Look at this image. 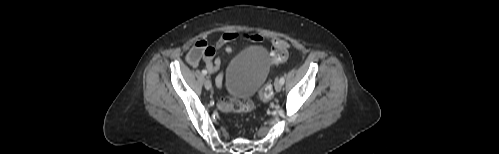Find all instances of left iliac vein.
Wrapping results in <instances>:
<instances>
[{
  "mask_svg": "<svg viewBox=\"0 0 499 154\" xmlns=\"http://www.w3.org/2000/svg\"><path fill=\"white\" fill-rule=\"evenodd\" d=\"M274 87L276 92H280L282 89V84L280 83V81L277 80L274 84Z\"/></svg>",
  "mask_w": 499,
  "mask_h": 154,
  "instance_id": "4c4485c4",
  "label": "left iliac vein"
}]
</instances>
